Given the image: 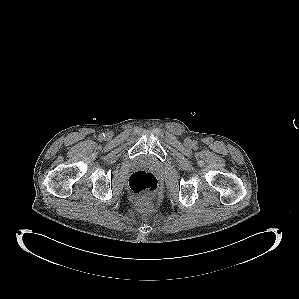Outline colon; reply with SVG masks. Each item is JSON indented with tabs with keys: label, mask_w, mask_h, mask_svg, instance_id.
Masks as SVG:
<instances>
[{
	"label": "colon",
	"mask_w": 299,
	"mask_h": 299,
	"mask_svg": "<svg viewBox=\"0 0 299 299\" xmlns=\"http://www.w3.org/2000/svg\"><path fill=\"white\" fill-rule=\"evenodd\" d=\"M157 186L156 176L144 170L134 172L128 179V189L141 206L149 204L150 196Z\"/></svg>",
	"instance_id": "obj_1"
}]
</instances>
